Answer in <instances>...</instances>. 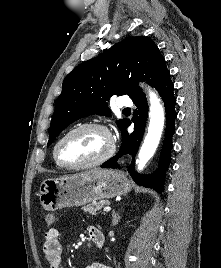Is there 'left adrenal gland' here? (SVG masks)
Instances as JSON below:
<instances>
[{
  "mask_svg": "<svg viewBox=\"0 0 221 268\" xmlns=\"http://www.w3.org/2000/svg\"><path fill=\"white\" fill-rule=\"evenodd\" d=\"M120 214L118 212H116L115 210H113L112 213V226H116L118 224V222L120 221Z\"/></svg>",
  "mask_w": 221,
  "mask_h": 268,
  "instance_id": "obj_1",
  "label": "left adrenal gland"
}]
</instances>
